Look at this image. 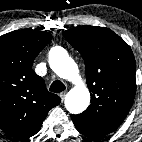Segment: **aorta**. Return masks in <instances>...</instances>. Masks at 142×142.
Segmentation results:
<instances>
[{
	"label": "aorta",
	"instance_id": "1",
	"mask_svg": "<svg viewBox=\"0 0 142 142\" xmlns=\"http://www.w3.org/2000/svg\"><path fill=\"white\" fill-rule=\"evenodd\" d=\"M49 64L60 78L75 85L66 95V109L72 114L85 111L90 103V92L79 76L78 66L75 61L64 48L55 46L49 52Z\"/></svg>",
	"mask_w": 142,
	"mask_h": 142
}]
</instances>
